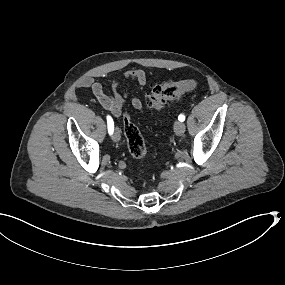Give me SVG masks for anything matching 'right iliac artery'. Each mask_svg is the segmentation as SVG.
I'll use <instances>...</instances> for the list:
<instances>
[{
    "label": "right iliac artery",
    "instance_id": "right-iliac-artery-1",
    "mask_svg": "<svg viewBox=\"0 0 285 285\" xmlns=\"http://www.w3.org/2000/svg\"><path fill=\"white\" fill-rule=\"evenodd\" d=\"M107 125H108V132L111 135L114 131V122L111 116H107Z\"/></svg>",
    "mask_w": 285,
    "mask_h": 285
}]
</instances>
